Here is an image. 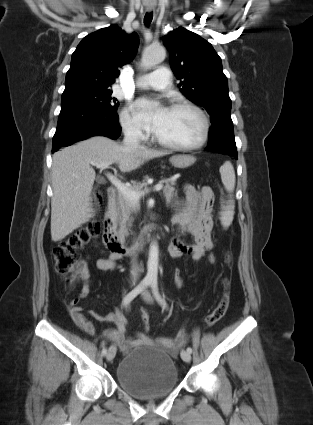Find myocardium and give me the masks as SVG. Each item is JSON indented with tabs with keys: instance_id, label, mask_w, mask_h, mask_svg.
I'll return each instance as SVG.
<instances>
[{
	"instance_id": "obj_1",
	"label": "myocardium",
	"mask_w": 313,
	"mask_h": 425,
	"mask_svg": "<svg viewBox=\"0 0 313 425\" xmlns=\"http://www.w3.org/2000/svg\"><path fill=\"white\" fill-rule=\"evenodd\" d=\"M170 109H173V110L187 109V110H190V111L196 113L199 116L201 123H202L201 136H200L199 140L194 144L180 145V144H173V143L164 141V140L160 139L155 134L154 135L155 142L158 143L160 146H163L165 148L177 150V151H185V152L195 151V150H198L201 147H203L205 145V143L207 142V140L209 138V134H210V121H209L207 114L199 106H197V105H195L191 102H187V101H181V102L174 103V104L171 105Z\"/></svg>"
}]
</instances>
